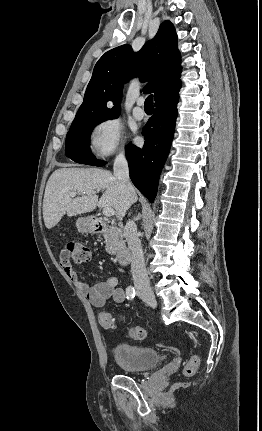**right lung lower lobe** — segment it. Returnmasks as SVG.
I'll use <instances>...</instances> for the list:
<instances>
[{
  "mask_svg": "<svg viewBox=\"0 0 262 431\" xmlns=\"http://www.w3.org/2000/svg\"><path fill=\"white\" fill-rule=\"evenodd\" d=\"M178 98L176 92L158 100L154 115L142 130L145 138L143 148L129 144L126 149L130 178L151 203L156 196L159 176L171 146Z\"/></svg>",
  "mask_w": 262,
  "mask_h": 431,
  "instance_id": "1",
  "label": "right lung lower lobe"
}]
</instances>
